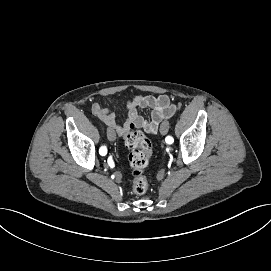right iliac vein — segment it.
Masks as SVG:
<instances>
[{"label":"right iliac vein","mask_w":271,"mask_h":271,"mask_svg":"<svg viewBox=\"0 0 271 271\" xmlns=\"http://www.w3.org/2000/svg\"><path fill=\"white\" fill-rule=\"evenodd\" d=\"M107 138L111 142L116 140V133L112 128L107 129Z\"/></svg>","instance_id":"obj_1"}]
</instances>
